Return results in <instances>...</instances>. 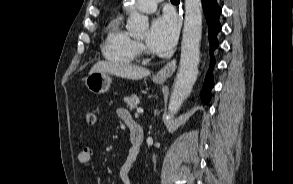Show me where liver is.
Masks as SVG:
<instances>
[{
	"label": "liver",
	"instance_id": "liver-1",
	"mask_svg": "<svg viewBox=\"0 0 293 184\" xmlns=\"http://www.w3.org/2000/svg\"><path fill=\"white\" fill-rule=\"evenodd\" d=\"M93 72H106L122 78L140 80L143 77L150 75V71L143 67L128 63H119L112 61H99L90 70Z\"/></svg>",
	"mask_w": 293,
	"mask_h": 184
}]
</instances>
